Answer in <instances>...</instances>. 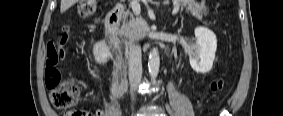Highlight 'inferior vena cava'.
I'll list each match as a JSON object with an SVG mask.
<instances>
[{
  "label": "inferior vena cava",
  "instance_id": "602c4592",
  "mask_svg": "<svg viewBox=\"0 0 283 116\" xmlns=\"http://www.w3.org/2000/svg\"><path fill=\"white\" fill-rule=\"evenodd\" d=\"M141 47L136 44L132 38L129 40V60H128V74L129 81L133 89H135L142 78V61H141ZM134 98V95L132 94Z\"/></svg>",
  "mask_w": 283,
  "mask_h": 116
}]
</instances>
